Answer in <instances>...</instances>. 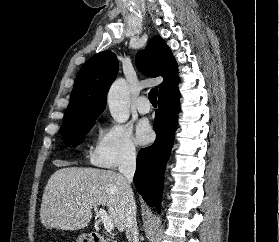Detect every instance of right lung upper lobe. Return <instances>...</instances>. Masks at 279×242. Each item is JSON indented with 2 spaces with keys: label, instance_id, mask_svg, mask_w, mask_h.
Listing matches in <instances>:
<instances>
[{
  "label": "right lung upper lobe",
  "instance_id": "cb5924a9",
  "mask_svg": "<svg viewBox=\"0 0 279 242\" xmlns=\"http://www.w3.org/2000/svg\"><path fill=\"white\" fill-rule=\"evenodd\" d=\"M136 64L147 76L163 77L158 85L159 97L178 89L177 64L161 37L154 36L146 49L138 52ZM117 72L118 61L113 52L103 51L91 57L77 74L62 125L77 124L102 113Z\"/></svg>",
  "mask_w": 279,
  "mask_h": 242
}]
</instances>
